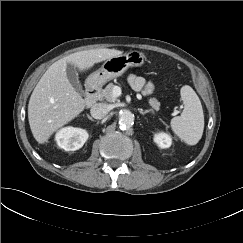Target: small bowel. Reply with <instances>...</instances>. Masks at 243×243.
<instances>
[{
    "mask_svg": "<svg viewBox=\"0 0 243 243\" xmlns=\"http://www.w3.org/2000/svg\"><path fill=\"white\" fill-rule=\"evenodd\" d=\"M128 82L134 90L141 91L145 95L151 94L154 89L152 83L146 82L144 78L133 74L128 77Z\"/></svg>",
    "mask_w": 243,
    "mask_h": 243,
    "instance_id": "small-bowel-1",
    "label": "small bowel"
}]
</instances>
